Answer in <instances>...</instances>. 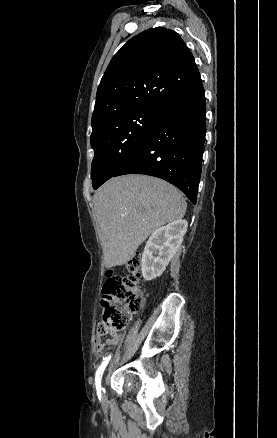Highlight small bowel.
<instances>
[{
  "instance_id": "obj_1",
  "label": "small bowel",
  "mask_w": 277,
  "mask_h": 438,
  "mask_svg": "<svg viewBox=\"0 0 277 438\" xmlns=\"http://www.w3.org/2000/svg\"><path fill=\"white\" fill-rule=\"evenodd\" d=\"M120 340H121L120 335L118 333H113V334H110V336L107 338L106 344L109 345V346H114V345L119 344ZM93 345L94 346H99L100 345V340L99 339H94L93 340ZM101 348H102V339H101Z\"/></svg>"
}]
</instances>
